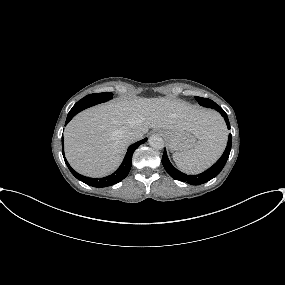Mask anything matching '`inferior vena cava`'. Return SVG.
Instances as JSON below:
<instances>
[{
  "instance_id": "602c4592",
  "label": "inferior vena cava",
  "mask_w": 285,
  "mask_h": 285,
  "mask_svg": "<svg viewBox=\"0 0 285 285\" xmlns=\"http://www.w3.org/2000/svg\"><path fill=\"white\" fill-rule=\"evenodd\" d=\"M125 141L131 143L142 138V134L137 131H128L124 134Z\"/></svg>"
}]
</instances>
